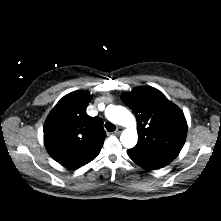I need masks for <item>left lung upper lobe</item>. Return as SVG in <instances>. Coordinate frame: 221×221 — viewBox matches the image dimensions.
I'll list each match as a JSON object with an SVG mask.
<instances>
[{"label": "left lung upper lobe", "instance_id": "5c2ea615", "mask_svg": "<svg viewBox=\"0 0 221 221\" xmlns=\"http://www.w3.org/2000/svg\"><path fill=\"white\" fill-rule=\"evenodd\" d=\"M137 119L139 140L130 155L175 159L187 134L183 112L153 87H137L122 95Z\"/></svg>", "mask_w": 221, "mask_h": 221}]
</instances>
